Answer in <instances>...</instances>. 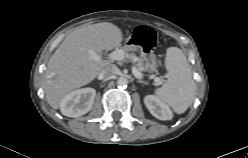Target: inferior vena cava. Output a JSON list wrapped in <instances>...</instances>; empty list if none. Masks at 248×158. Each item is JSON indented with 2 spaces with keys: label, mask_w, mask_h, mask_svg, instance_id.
<instances>
[{
  "label": "inferior vena cava",
  "mask_w": 248,
  "mask_h": 158,
  "mask_svg": "<svg viewBox=\"0 0 248 158\" xmlns=\"http://www.w3.org/2000/svg\"><path fill=\"white\" fill-rule=\"evenodd\" d=\"M117 67L113 64L107 65L99 74L100 79H106L113 76L116 72Z\"/></svg>",
  "instance_id": "1"
}]
</instances>
